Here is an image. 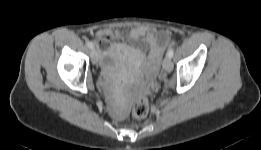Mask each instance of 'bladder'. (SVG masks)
Wrapping results in <instances>:
<instances>
[{"label": "bladder", "mask_w": 261, "mask_h": 150, "mask_svg": "<svg viewBox=\"0 0 261 150\" xmlns=\"http://www.w3.org/2000/svg\"><path fill=\"white\" fill-rule=\"evenodd\" d=\"M118 62V54L116 52L109 53L103 61L104 67L106 69L115 68Z\"/></svg>", "instance_id": "1"}]
</instances>
